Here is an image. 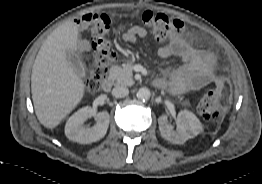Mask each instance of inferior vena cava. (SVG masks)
Instances as JSON below:
<instances>
[{"mask_svg":"<svg viewBox=\"0 0 262 184\" xmlns=\"http://www.w3.org/2000/svg\"><path fill=\"white\" fill-rule=\"evenodd\" d=\"M128 94H129V90L127 87L117 86L112 90V95L116 98H122L127 96Z\"/></svg>","mask_w":262,"mask_h":184,"instance_id":"602c4592","label":"inferior vena cava"}]
</instances>
